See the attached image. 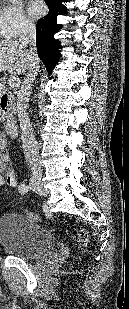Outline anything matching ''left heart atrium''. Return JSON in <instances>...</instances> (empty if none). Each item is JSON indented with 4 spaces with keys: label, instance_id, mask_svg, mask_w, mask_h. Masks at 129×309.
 I'll return each mask as SVG.
<instances>
[{
    "label": "left heart atrium",
    "instance_id": "39dd6f15",
    "mask_svg": "<svg viewBox=\"0 0 129 309\" xmlns=\"http://www.w3.org/2000/svg\"><path fill=\"white\" fill-rule=\"evenodd\" d=\"M45 11L44 5L40 0H34L29 6L30 15L37 18L40 17Z\"/></svg>",
    "mask_w": 129,
    "mask_h": 309
}]
</instances>
